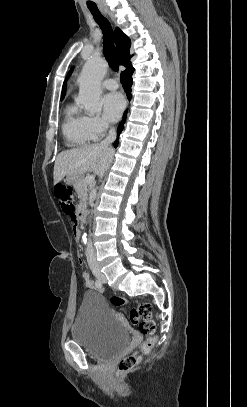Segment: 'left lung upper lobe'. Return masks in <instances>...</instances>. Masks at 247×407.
Segmentation results:
<instances>
[{
	"mask_svg": "<svg viewBox=\"0 0 247 407\" xmlns=\"http://www.w3.org/2000/svg\"><path fill=\"white\" fill-rule=\"evenodd\" d=\"M72 70H73V68L70 70V72H69V76H70V74L72 73Z\"/></svg>",
	"mask_w": 247,
	"mask_h": 407,
	"instance_id": "1",
	"label": "left lung upper lobe"
}]
</instances>
